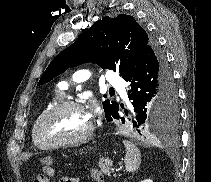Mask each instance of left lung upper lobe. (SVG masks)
Masks as SVG:
<instances>
[{"label": "left lung upper lobe", "instance_id": "1", "mask_svg": "<svg viewBox=\"0 0 211 182\" xmlns=\"http://www.w3.org/2000/svg\"><path fill=\"white\" fill-rule=\"evenodd\" d=\"M150 43L148 34L132 16L118 15L115 18L106 16L89 29H85L75 43L52 60L38 85L51 81L69 67L87 62L96 63L103 69L119 71L126 80L137 67ZM103 108L108 122L113 118L118 119V103L105 100ZM175 126L176 123L167 125V128ZM159 131L160 129L157 132Z\"/></svg>", "mask_w": 211, "mask_h": 182}]
</instances>
